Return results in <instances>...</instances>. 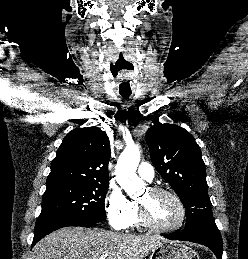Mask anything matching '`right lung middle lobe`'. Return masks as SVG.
<instances>
[{
    "label": "right lung middle lobe",
    "mask_w": 248,
    "mask_h": 259,
    "mask_svg": "<svg viewBox=\"0 0 248 259\" xmlns=\"http://www.w3.org/2000/svg\"><path fill=\"white\" fill-rule=\"evenodd\" d=\"M108 182H64L46 185L38 219L61 217L83 223L106 219L105 197Z\"/></svg>",
    "instance_id": "1"
}]
</instances>
